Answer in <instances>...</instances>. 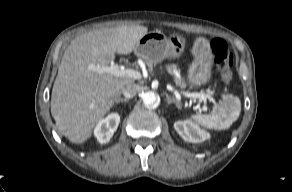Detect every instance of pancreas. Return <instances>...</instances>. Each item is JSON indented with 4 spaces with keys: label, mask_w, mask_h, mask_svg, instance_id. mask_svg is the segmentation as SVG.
Segmentation results:
<instances>
[{
    "label": "pancreas",
    "mask_w": 292,
    "mask_h": 192,
    "mask_svg": "<svg viewBox=\"0 0 292 192\" xmlns=\"http://www.w3.org/2000/svg\"><path fill=\"white\" fill-rule=\"evenodd\" d=\"M168 73H170L171 75H174V81L176 83V85L180 86L181 88H185L187 86V84L185 83L183 78H179L175 76V71L179 72V69L177 68V65L175 64H170L167 65L166 67Z\"/></svg>",
    "instance_id": "pancreas-1"
}]
</instances>
